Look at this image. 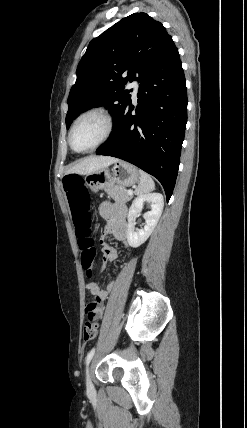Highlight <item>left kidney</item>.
Listing matches in <instances>:
<instances>
[{
    "instance_id": "5707ae66",
    "label": "left kidney",
    "mask_w": 247,
    "mask_h": 428,
    "mask_svg": "<svg viewBox=\"0 0 247 428\" xmlns=\"http://www.w3.org/2000/svg\"><path fill=\"white\" fill-rule=\"evenodd\" d=\"M145 202L151 204V210L143 215L145 226L135 230V219L141 213ZM164 206L163 196L160 193L140 195L134 199L128 213L127 242L131 247L137 248L143 244L154 230L162 214Z\"/></svg>"
}]
</instances>
